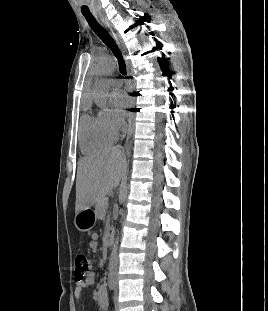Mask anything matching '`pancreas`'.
I'll return each mask as SVG.
<instances>
[{"label":"pancreas","mask_w":268,"mask_h":311,"mask_svg":"<svg viewBox=\"0 0 268 311\" xmlns=\"http://www.w3.org/2000/svg\"><path fill=\"white\" fill-rule=\"evenodd\" d=\"M108 208V201L105 198L98 200L95 204V214L97 218L104 219L106 210Z\"/></svg>","instance_id":"1"}]
</instances>
